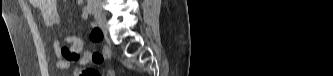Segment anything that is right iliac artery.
Returning a JSON list of instances; mask_svg holds the SVG:
<instances>
[{"label": "right iliac artery", "mask_w": 333, "mask_h": 76, "mask_svg": "<svg viewBox=\"0 0 333 76\" xmlns=\"http://www.w3.org/2000/svg\"><path fill=\"white\" fill-rule=\"evenodd\" d=\"M84 11H85L87 14H91V8H90V6H89V5L86 6V7L84 8Z\"/></svg>", "instance_id": "right-iliac-artery-1"}]
</instances>
